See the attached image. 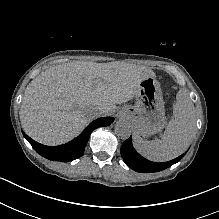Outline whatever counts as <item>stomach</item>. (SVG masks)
Masks as SVG:
<instances>
[{
  "mask_svg": "<svg viewBox=\"0 0 219 219\" xmlns=\"http://www.w3.org/2000/svg\"><path fill=\"white\" fill-rule=\"evenodd\" d=\"M135 105L125 106L121 113L129 119L135 132L148 137L161 131L166 123L165 106L159 82L147 77L140 83Z\"/></svg>",
  "mask_w": 219,
  "mask_h": 219,
  "instance_id": "stomach-1",
  "label": "stomach"
}]
</instances>
